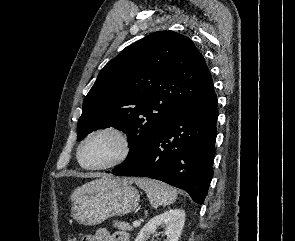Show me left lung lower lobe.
Instances as JSON below:
<instances>
[{
    "label": "left lung lower lobe",
    "mask_w": 295,
    "mask_h": 241,
    "mask_svg": "<svg viewBox=\"0 0 295 241\" xmlns=\"http://www.w3.org/2000/svg\"><path fill=\"white\" fill-rule=\"evenodd\" d=\"M217 118L213 88L170 118L133 159L107 173L161 180L201 204L213 176Z\"/></svg>",
    "instance_id": "left-lung-lower-lobe-1"
}]
</instances>
